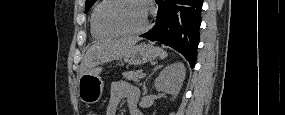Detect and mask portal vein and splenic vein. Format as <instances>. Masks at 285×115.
<instances>
[{
  "label": "portal vein and splenic vein",
  "instance_id": "1",
  "mask_svg": "<svg viewBox=\"0 0 285 115\" xmlns=\"http://www.w3.org/2000/svg\"><path fill=\"white\" fill-rule=\"evenodd\" d=\"M145 76H146V74L142 73L140 78H144Z\"/></svg>",
  "mask_w": 285,
  "mask_h": 115
}]
</instances>
